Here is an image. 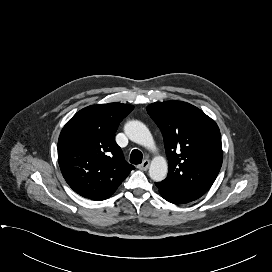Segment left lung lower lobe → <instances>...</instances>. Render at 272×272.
I'll use <instances>...</instances> for the list:
<instances>
[{"label":"left lung lower lobe","instance_id":"1","mask_svg":"<svg viewBox=\"0 0 272 272\" xmlns=\"http://www.w3.org/2000/svg\"><path fill=\"white\" fill-rule=\"evenodd\" d=\"M156 186L159 188V192L162 195V197L168 202H171L173 204L188 203L204 195L202 193H185L179 195H170L165 192V189L163 187H160L159 183H156Z\"/></svg>","mask_w":272,"mask_h":272}]
</instances>
